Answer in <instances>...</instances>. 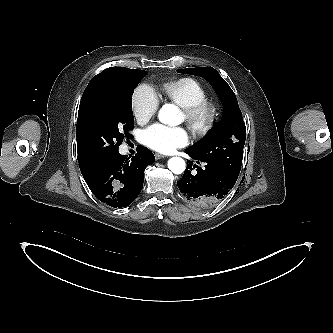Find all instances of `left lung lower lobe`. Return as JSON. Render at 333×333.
Returning a JSON list of instances; mask_svg holds the SVG:
<instances>
[{
	"label": "left lung lower lobe",
	"mask_w": 333,
	"mask_h": 333,
	"mask_svg": "<svg viewBox=\"0 0 333 333\" xmlns=\"http://www.w3.org/2000/svg\"><path fill=\"white\" fill-rule=\"evenodd\" d=\"M191 158L197 163L203 162L204 168L193 165L189 161L185 173L180 181L177 182L178 188L183 199L192 206L209 209L218 204L236 183V178L226 174L221 168L208 161L200 159L186 150ZM197 168V174L191 173L192 168Z\"/></svg>",
	"instance_id": "0a47b994"
}]
</instances>
